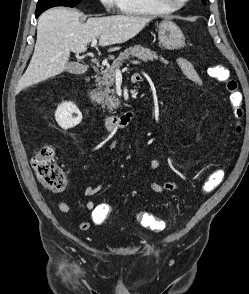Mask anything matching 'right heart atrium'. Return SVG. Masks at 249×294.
I'll list each match as a JSON object with an SVG mask.
<instances>
[{"label": "right heart atrium", "mask_w": 249, "mask_h": 294, "mask_svg": "<svg viewBox=\"0 0 249 294\" xmlns=\"http://www.w3.org/2000/svg\"><path fill=\"white\" fill-rule=\"evenodd\" d=\"M104 7L108 10L114 8L116 5V0H100Z\"/></svg>", "instance_id": "obj_1"}]
</instances>
